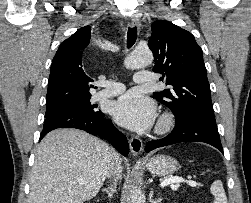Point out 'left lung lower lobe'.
Segmentation results:
<instances>
[{
    "mask_svg": "<svg viewBox=\"0 0 251 203\" xmlns=\"http://www.w3.org/2000/svg\"><path fill=\"white\" fill-rule=\"evenodd\" d=\"M180 142H204L223 152L215 121L202 117H191L182 123H176L173 131L166 137L147 143L145 151Z\"/></svg>",
    "mask_w": 251,
    "mask_h": 203,
    "instance_id": "left-lung-lower-lobe-1",
    "label": "left lung lower lobe"
}]
</instances>
